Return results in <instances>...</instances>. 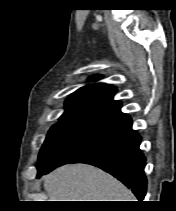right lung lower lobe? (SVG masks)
<instances>
[{
    "label": "right lung lower lobe",
    "mask_w": 176,
    "mask_h": 211,
    "mask_svg": "<svg viewBox=\"0 0 176 211\" xmlns=\"http://www.w3.org/2000/svg\"><path fill=\"white\" fill-rule=\"evenodd\" d=\"M140 142L141 137L132 129L131 117L123 114L97 124L49 165L38 169L37 177L67 163H88L116 177L143 201L147 179Z\"/></svg>",
    "instance_id": "98d812e1"
}]
</instances>
